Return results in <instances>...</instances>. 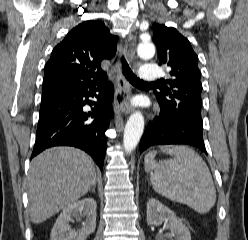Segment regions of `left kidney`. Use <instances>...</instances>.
<instances>
[{
    "instance_id": "1",
    "label": "left kidney",
    "mask_w": 248,
    "mask_h": 240,
    "mask_svg": "<svg viewBox=\"0 0 248 240\" xmlns=\"http://www.w3.org/2000/svg\"><path fill=\"white\" fill-rule=\"evenodd\" d=\"M167 222L175 240H191L188 228L176 214L156 199H150L147 203V223L160 225Z\"/></svg>"
}]
</instances>
